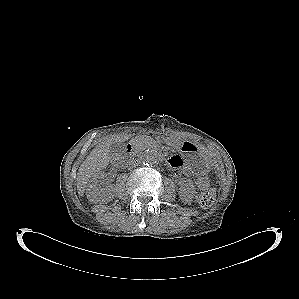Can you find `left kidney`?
<instances>
[{"label": "left kidney", "mask_w": 299, "mask_h": 299, "mask_svg": "<svg viewBox=\"0 0 299 299\" xmlns=\"http://www.w3.org/2000/svg\"><path fill=\"white\" fill-rule=\"evenodd\" d=\"M179 195L185 202H191L194 198L195 188L191 181L182 179L180 181Z\"/></svg>", "instance_id": "1"}]
</instances>
